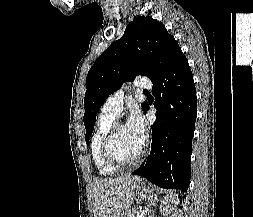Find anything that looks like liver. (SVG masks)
<instances>
[{
  "mask_svg": "<svg viewBox=\"0 0 253 217\" xmlns=\"http://www.w3.org/2000/svg\"><path fill=\"white\" fill-rule=\"evenodd\" d=\"M141 181L130 174L93 183L92 210L94 217H124L135 198V188Z\"/></svg>",
  "mask_w": 253,
  "mask_h": 217,
  "instance_id": "obj_1",
  "label": "liver"
}]
</instances>
